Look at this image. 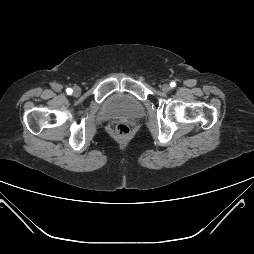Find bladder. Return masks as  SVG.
Instances as JSON below:
<instances>
[{
    "label": "bladder",
    "instance_id": "obj_1",
    "mask_svg": "<svg viewBox=\"0 0 254 254\" xmlns=\"http://www.w3.org/2000/svg\"><path fill=\"white\" fill-rule=\"evenodd\" d=\"M145 113L142 102L135 96L116 92L109 95L101 107L103 119H138Z\"/></svg>",
    "mask_w": 254,
    "mask_h": 254
}]
</instances>
